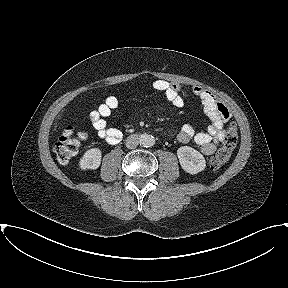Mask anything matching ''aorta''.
<instances>
[{
  "mask_svg": "<svg viewBox=\"0 0 288 288\" xmlns=\"http://www.w3.org/2000/svg\"><path fill=\"white\" fill-rule=\"evenodd\" d=\"M140 144L144 147H151L155 144V138L149 134H142L140 136Z\"/></svg>",
  "mask_w": 288,
  "mask_h": 288,
  "instance_id": "obj_1",
  "label": "aorta"
}]
</instances>
